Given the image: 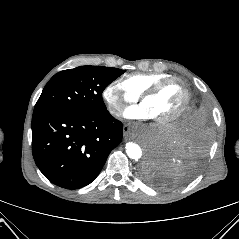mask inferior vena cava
Returning a JSON list of instances; mask_svg holds the SVG:
<instances>
[{
    "label": "inferior vena cava",
    "instance_id": "inferior-vena-cava-1",
    "mask_svg": "<svg viewBox=\"0 0 239 239\" xmlns=\"http://www.w3.org/2000/svg\"><path fill=\"white\" fill-rule=\"evenodd\" d=\"M112 113L115 114V115H117V114H118V111H117V110H113Z\"/></svg>",
    "mask_w": 239,
    "mask_h": 239
}]
</instances>
